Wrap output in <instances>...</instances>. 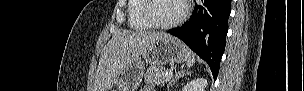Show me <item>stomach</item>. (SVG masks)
<instances>
[{
    "instance_id": "stomach-1",
    "label": "stomach",
    "mask_w": 304,
    "mask_h": 91,
    "mask_svg": "<svg viewBox=\"0 0 304 91\" xmlns=\"http://www.w3.org/2000/svg\"><path fill=\"white\" fill-rule=\"evenodd\" d=\"M189 49L178 38L173 36L163 37L154 42L142 57L154 66L167 63H183L188 59ZM144 75V65L141 57L131 60L122 68L117 76L118 91H136Z\"/></svg>"
}]
</instances>
